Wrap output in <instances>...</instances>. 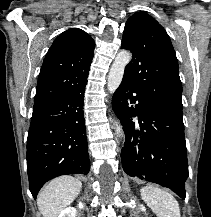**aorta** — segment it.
<instances>
[{
  "instance_id": "obj_1",
  "label": "aorta",
  "mask_w": 211,
  "mask_h": 217,
  "mask_svg": "<svg viewBox=\"0 0 211 217\" xmlns=\"http://www.w3.org/2000/svg\"><path fill=\"white\" fill-rule=\"evenodd\" d=\"M131 57L132 56L128 51H120L117 54L108 75L107 89L109 93L113 94L119 87L124 75L125 67L130 62ZM115 125L117 135L122 136V128L119 122L116 121Z\"/></svg>"
}]
</instances>
